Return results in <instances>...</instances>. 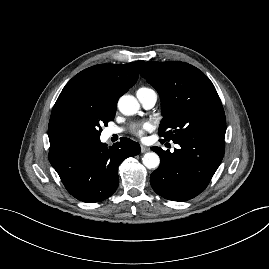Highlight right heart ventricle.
I'll return each mask as SVG.
<instances>
[{
  "instance_id": "1",
  "label": "right heart ventricle",
  "mask_w": 269,
  "mask_h": 269,
  "mask_svg": "<svg viewBox=\"0 0 269 269\" xmlns=\"http://www.w3.org/2000/svg\"><path fill=\"white\" fill-rule=\"evenodd\" d=\"M150 90H151V89L148 88V87H141V88L138 89L137 93H138V92H146V91H150Z\"/></svg>"
}]
</instances>
